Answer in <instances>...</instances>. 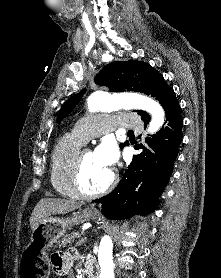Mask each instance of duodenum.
I'll return each mask as SVG.
<instances>
[{"mask_svg":"<svg viewBox=\"0 0 221 278\" xmlns=\"http://www.w3.org/2000/svg\"><path fill=\"white\" fill-rule=\"evenodd\" d=\"M85 274L87 278H99V271L94 260L92 259L86 260Z\"/></svg>","mask_w":221,"mask_h":278,"instance_id":"1","label":"duodenum"}]
</instances>
